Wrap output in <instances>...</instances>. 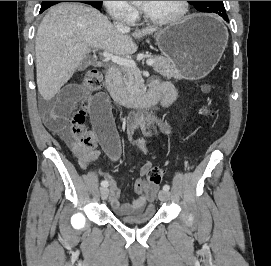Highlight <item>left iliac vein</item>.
I'll list each match as a JSON object with an SVG mask.
<instances>
[{
  "mask_svg": "<svg viewBox=\"0 0 271 266\" xmlns=\"http://www.w3.org/2000/svg\"><path fill=\"white\" fill-rule=\"evenodd\" d=\"M158 198L160 201H168L169 198H170V194L168 191H165V190H161L158 194Z\"/></svg>",
  "mask_w": 271,
  "mask_h": 266,
  "instance_id": "obj_1",
  "label": "left iliac vein"
}]
</instances>
